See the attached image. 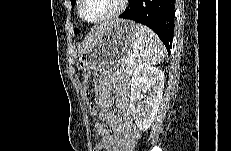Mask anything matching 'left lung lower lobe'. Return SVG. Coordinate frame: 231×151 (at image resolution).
Wrapping results in <instances>:
<instances>
[{
    "label": "left lung lower lobe",
    "instance_id": "0a47b994",
    "mask_svg": "<svg viewBox=\"0 0 231 151\" xmlns=\"http://www.w3.org/2000/svg\"><path fill=\"white\" fill-rule=\"evenodd\" d=\"M119 17L148 26L159 36L167 51H170L174 32L175 0H135Z\"/></svg>",
    "mask_w": 231,
    "mask_h": 151
}]
</instances>
